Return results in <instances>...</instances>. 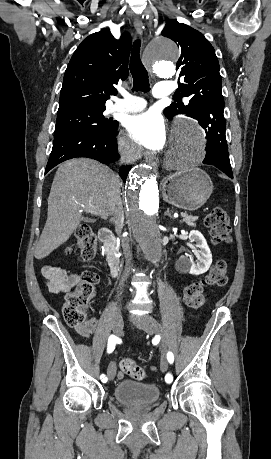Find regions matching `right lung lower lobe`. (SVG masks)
<instances>
[{
  "label": "right lung lower lobe",
  "instance_id": "98d812e1",
  "mask_svg": "<svg viewBox=\"0 0 271 459\" xmlns=\"http://www.w3.org/2000/svg\"><path fill=\"white\" fill-rule=\"evenodd\" d=\"M117 127L118 124L108 131L76 130L55 137L45 174L59 163L75 157L92 158L104 164L115 161L119 157L114 138ZM130 168H120L119 174L123 180Z\"/></svg>",
  "mask_w": 271,
  "mask_h": 459
}]
</instances>
